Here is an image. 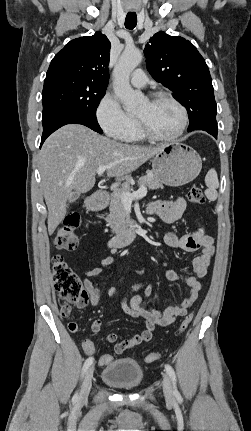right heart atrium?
<instances>
[{"mask_svg": "<svg viewBox=\"0 0 251 431\" xmlns=\"http://www.w3.org/2000/svg\"><path fill=\"white\" fill-rule=\"evenodd\" d=\"M96 119L110 137L123 139L133 128L135 119L121 106L111 93H105L96 107Z\"/></svg>", "mask_w": 251, "mask_h": 431, "instance_id": "1", "label": "right heart atrium"}]
</instances>
